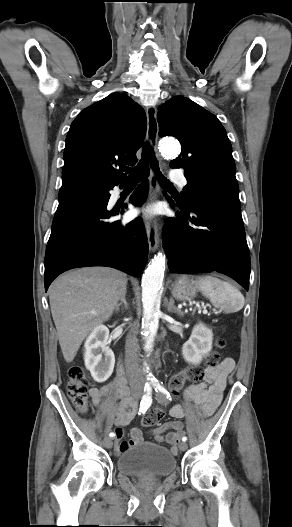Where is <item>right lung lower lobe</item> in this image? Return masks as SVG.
<instances>
[{
	"label": "right lung lower lobe",
	"mask_w": 292,
	"mask_h": 527,
	"mask_svg": "<svg viewBox=\"0 0 292 527\" xmlns=\"http://www.w3.org/2000/svg\"><path fill=\"white\" fill-rule=\"evenodd\" d=\"M148 170L145 177L148 176ZM125 180L120 181L122 184ZM107 189L68 187L59 192L51 235L45 254L44 284L47 291L61 273L78 267L109 266L139 276L147 262L148 243L140 218L122 225L113 218L125 205L107 207ZM149 189L146 179L138 185L129 202L140 205Z\"/></svg>",
	"instance_id": "98d812e1"
}]
</instances>
